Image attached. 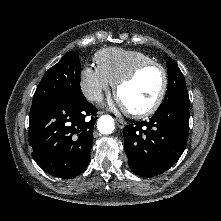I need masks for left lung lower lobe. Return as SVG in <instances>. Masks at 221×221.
I'll use <instances>...</instances> for the list:
<instances>
[{"mask_svg": "<svg viewBox=\"0 0 221 221\" xmlns=\"http://www.w3.org/2000/svg\"><path fill=\"white\" fill-rule=\"evenodd\" d=\"M188 130V96L157 109L149 121L125 126L123 136L130 169L145 177L168 170L183 153Z\"/></svg>", "mask_w": 221, "mask_h": 221, "instance_id": "0a47b994", "label": "left lung lower lobe"}]
</instances>
